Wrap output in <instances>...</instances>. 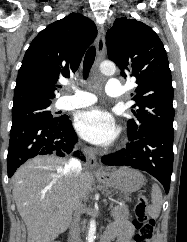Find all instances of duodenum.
<instances>
[{"label":"duodenum","instance_id":"obj_1","mask_svg":"<svg viewBox=\"0 0 187 242\" xmlns=\"http://www.w3.org/2000/svg\"><path fill=\"white\" fill-rule=\"evenodd\" d=\"M112 237L108 234H106V232L104 233V235L101 238L100 242H111Z\"/></svg>","mask_w":187,"mask_h":242}]
</instances>
